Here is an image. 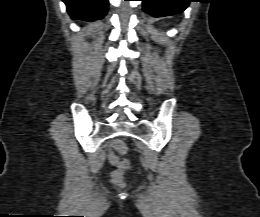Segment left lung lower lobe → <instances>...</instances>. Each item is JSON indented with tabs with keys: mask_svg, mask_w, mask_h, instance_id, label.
I'll return each instance as SVG.
<instances>
[{
	"mask_svg": "<svg viewBox=\"0 0 260 217\" xmlns=\"http://www.w3.org/2000/svg\"><path fill=\"white\" fill-rule=\"evenodd\" d=\"M143 11L154 17L172 16L182 13L190 0H141Z\"/></svg>",
	"mask_w": 260,
	"mask_h": 217,
	"instance_id": "obj_1",
	"label": "left lung lower lobe"
}]
</instances>
